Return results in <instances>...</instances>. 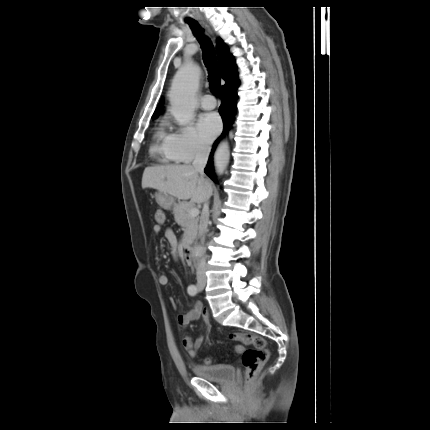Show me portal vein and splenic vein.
<instances>
[{"label":"portal vein and splenic vein","mask_w":430,"mask_h":430,"mask_svg":"<svg viewBox=\"0 0 430 430\" xmlns=\"http://www.w3.org/2000/svg\"><path fill=\"white\" fill-rule=\"evenodd\" d=\"M189 214H190L191 216H198V214H199V210H198L197 208H191V209L189 210Z\"/></svg>","instance_id":"18ae733b"}]
</instances>
